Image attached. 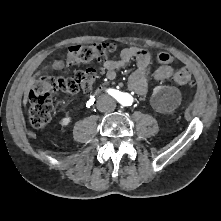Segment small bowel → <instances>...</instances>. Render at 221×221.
<instances>
[{"mask_svg":"<svg viewBox=\"0 0 221 221\" xmlns=\"http://www.w3.org/2000/svg\"><path fill=\"white\" fill-rule=\"evenodd\" d=\"M136 60L137 69L128 79V89L140 96L148 93L150 83L148 73L154 63L151 54L143 48L131 46L123 49L117 60H103L102 67L108 80H114L120 69H123L130 60ZM159 62L158 68L154 71L152 78L155 81L169 79L173 74L171 66L172 57L167 53H159L157 56Z\"/></svg>","mask_w":221,"mask_h":221,"instance_id":"c3829d8e","label":"small bowel"}]
</instances>
